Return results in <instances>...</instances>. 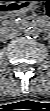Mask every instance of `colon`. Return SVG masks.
Returning <instances> with one entry per match:
<instances>
[{
    "instance_id": "colon-1",
    "label": "colon",
    "mask_w": 50,
    "mask_h": 111,
    "mask_svg": "<svg viewBox=\"0 0 50 111\" xmlns=\"http://www.w3.org/2000/svg\"><path fill=\"white\" fill-rule=\"evenodd\" d=\"M44 12L46 14H49L50 13V4L49 3H46L45 6H44Z\"/></svg>"
}]
</instances>
